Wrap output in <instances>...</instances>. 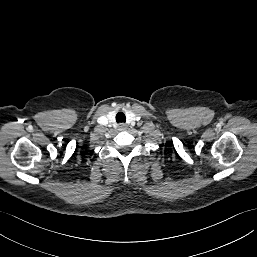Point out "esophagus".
<instances>
[{
    "instance_id": "esophagus-1",
    "label": "esophagus",
    "mask_w": 257,
    "mask_h": 257,
    "mask_svg": "<svg viewBox=\"0 0 257 257\" xmlns=\"http://www.w3.org/2000/svg\"><path fill=\"white\" fill-rule=\"evenodd\" d=\"M119 129L125 130L126 129V125L124 123H120L119 124Z\"/></svg>"
}]
</instances>
